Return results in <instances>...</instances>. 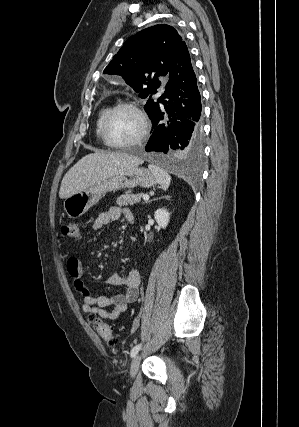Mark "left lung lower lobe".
Wrapping results in <instances>:
<instances>
[{
  "label": "left lung lower lobe",
  "mask_w": 299,
  "mask_h": 427,
  "mask_svg": "<svg viewBox=\"0 0 299 427\" xmlns=\"http://www.w3.org/2000/svg\"><path fill=\"white\" fill-rule=\"evenodd\" d=\"M165 93L150 119L153 134L145 147L161 161L194 160L203 148L201 96L188 48L181 42L169 70Z\"/></svg>",
  "instance_id": "0a47b994"
}]
</instances>
